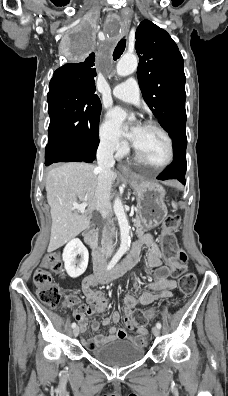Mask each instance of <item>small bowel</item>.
Returning <instances> with one entry per match:
<instances>
[{
	"mask_svg": "<svg viewBox=\"0 0 228 396\" xmlns=\"http://www.w3.org/2000/svg\"><path fill=\"white\" fill-rule=\"evenodd\" d=\"M145 244L150 250L147 254V264L154 269V280L148 284L150 291L139 294V285L133 279V292L127 294L124 298V323L127 329L136 331L135 335H128L125 328H117L115 324L120 320V313L114 311L109 318L99 321H93L92 330L97 331L100 326H107V335H97L93 338H82V344L87 349H93L100 344L113 340H128L138 344H145L148 340V331L144 327H137L131 321V314L135 306L148 305L160 299L173 297V291L176 289V281L170 277V267L162 261L163 254L152 234H146L134 246L129 257L138 259L141 246ZM113 269V268H112ZM107 283L103 280V274L84 278L82 289L88 305L81 304L75 313V318L79 322L80 330L85 332L88 317L95 313H103L107 308L108 302L102 291L94 290L98 284Z\"/></svg>",
	"mask_w": 228,
	"mask_h": 396,
	"instance_id": "1",
	"label": "small bowel"
}]
</instances>
